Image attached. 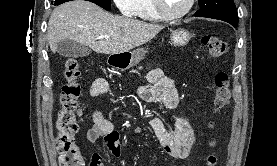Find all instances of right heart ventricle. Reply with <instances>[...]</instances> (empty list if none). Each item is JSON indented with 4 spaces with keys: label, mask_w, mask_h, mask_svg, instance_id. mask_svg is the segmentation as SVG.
Masks as SVG:
<instances>
[{
    "label": "right heart ventricle",
    "mask_w": 277,
    "mask_h": 166,
    "mask_svg": "<svg viewBox=\"0 0 277 166\" xmlns=\"http://www.w3.org/2000/svg\"><path fill=\"white\" fill-rule=\"evenodd\" d=\"M132 16L146 22H160L163 20L157 13L153 0H137Z\"/></svg>",
    "instance_id": "1"
}]
</instances>
